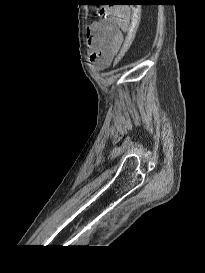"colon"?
<instances>
[{"label":"colon","mask_w":205,"mask_h":273,"mask_svg":"<svg viewBox=\"0 0 205 273\" xmlns=\"http://www.w3.org/2000/svg\"><path fill=\"white\" fill-rule=\"evenodd\" d=\"M137 28H138V17L135 15L133 17L131 24H130L123 48L115 60L116 65L119 64L126 57L127 53L129 52L132 42L134 40Z\"/></svg>","instance_id":"colon-1"}]
</instances>
